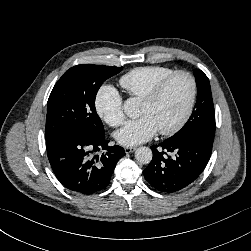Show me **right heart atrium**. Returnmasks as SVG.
<instances>
[{"label": "right heart atrium", "instance_id": "d8ad5b80", "mask_svg": "<svg viewBox=\"0 0 251 251\" xmlns=\"http://www.w3.org/2000/svg\"><path fill=\"white\" fill-rule=\"evenodd\" d=\"M95 108L98 115L109 125L118 126L123 120L122 97L116 88L104 85L95 97Z\"/></svg>", "mask_w": 251, "mask_h": 251}]
</instances>
